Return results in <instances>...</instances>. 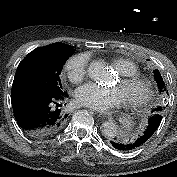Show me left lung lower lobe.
<instances>
[{
  "label": "left lung lower lobe",
  "instance_id": "left-lung-lower-lobe-1",
  "mask_svg": "<svg viewBox=\"0 0 177 177\" xmlns=\"http://www.w3.org/2000/svg\"><path fill=\"white\" fill-rule=\"evenodd\" d=\"M161 107H157L152 110V115L148 120L145 131L135 139H115L112 142V146L121 151H130L142 146L156 131L159 127L162 116L160 112Z\"/></svg>",
  "mask_w": 177,
  "mask_h": 177
}]
</instances>
